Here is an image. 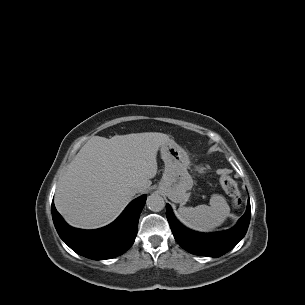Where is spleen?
I'll return each mask as SVG.
<instances>
[{"mask_svg": "<svg viewBox=\"0 0 305 305\" xmlns=\"http://www.w3.org/2000/svg\"><path fill=\"white\" fill-rule=\"evenodd\" d=\"M230 213V207L225 198L213 194L210 198V206L198 205L196 207H180L176 216L186 227L208 232L220 226Z\"/></svg>", "mask_w": 305, "mask_h": 305, "instance_id": "obj_1", "label": "spleen"}]
</instances>
